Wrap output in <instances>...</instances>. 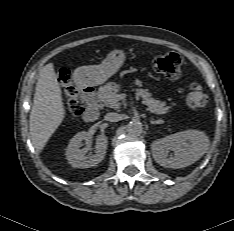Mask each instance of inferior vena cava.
<instances>
[{"label":"inferior vena cava","instance_id":"602c4592","mask_svg":"<svg viewBox=\"0 0 234 231\" xmlns=\"http://www.w3.org/2000/svg\"><path fill=\"white\" fill-rule=\"evenodd\" d=\"M105 120L110 121V122H117L121 120V115L118 113H114V112L107 113L105 115Z\"/></svg>","mask_w":234,"mask_h":231}]
</instances>
